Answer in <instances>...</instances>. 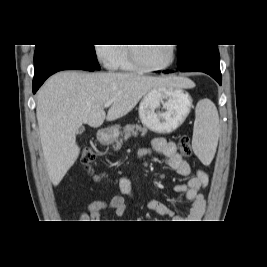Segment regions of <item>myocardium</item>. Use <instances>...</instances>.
Returning a JSON list of instances; mask_svg holds the SVG:
<instances>
[{"mask_svg": "<svg viewBox=\"0 0 267 267\" xmlns=\"http://www.w3.org/2000/svg\"><path fill=\"white\" fill-rule=\"evenodd\" d=\"M170 48H171V58L170 60L162 65V66H148L145 65L138 57V54L136 52L135 46H133V44H130V46H128V56H129V60L130 62L139 70L141 71H145V72H158V71H162L165 70L167 68H169L175 61L176 59V46L174 44H169Z\"/></svg>", "mask_w": 267, "mask_h": 267, "instance_id": "1", "label": "myocardium"}]
</instances>
